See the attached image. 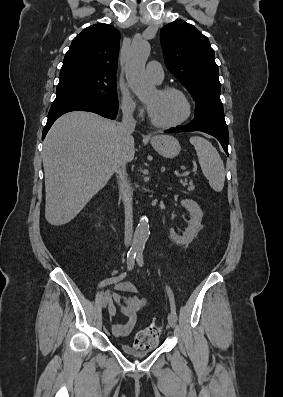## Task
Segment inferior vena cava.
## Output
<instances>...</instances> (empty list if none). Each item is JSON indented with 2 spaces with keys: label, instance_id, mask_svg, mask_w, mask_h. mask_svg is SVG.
Instances as JSON below:
<instances>
[{
  "label": "inferior vena cava",
  "instance_id": "inferior-vena-cava-1",
  "mask_svg": "<svg viewBox=\"0 0 283 397\" xmlns=\"http://www.w3.org/2000/svg\"><path fill=\"white\" fill-rule=\"evenodd\" d=\"M122 114V121L119 123L118 127L122 137L128 139L136 126V121L133 117V109L129 106H123ZM126 167L127 161L124 156H121L117 162L116 173L120 180V198L123 201L125 210L124 241L125 245L129 246L132 243L133 237V194L128 184Z\"/></svg>",
  "mask_w": 283,
  "mask_h": 397
}]
</instances>
